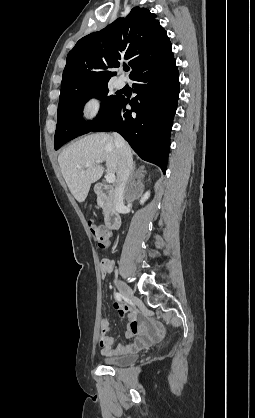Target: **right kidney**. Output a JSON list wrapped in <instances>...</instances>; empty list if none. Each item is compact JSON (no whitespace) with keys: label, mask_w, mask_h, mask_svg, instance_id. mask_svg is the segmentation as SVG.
Returning a JSON list of instances; mask_svg holds the SVG:
<instances>
[{"label":"right kidney","mask_w":255,"mask_h":418,"mask_svg":"<svg viewBox=\"0 0 255 418\" xmlns=\"http://www.w3.org/2000/svg\"><path fill=\"white\" fill-rule=\"evenodd\" d=\"M150 192H146L140 200V204H144V202L149 198Z\"/></svg>","instance_id":"ca27d5eb"}]
</instances>
